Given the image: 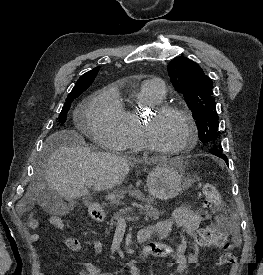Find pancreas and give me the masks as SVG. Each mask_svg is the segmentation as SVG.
<instances>
[{
    "label": "pancreas",
    "mask_w": 263,
    "mask_h": 275,
    "mask_svg": "<svg viewBox=\"0 0 263 275\" xmlns=\"http://www.w3.org/2000/svg\"><path fill=\"white\" fill-rule=\"evenodd\" d=\"M131 195L141 201V203L138 204L137 207L140 211L139 214L145 215V220H148V218L157 220L159 216L162 214L161 211H159L151 205L154 202V198H152L151 196L146 197L139 191H135L131 193ZM129 213L133 214V208L125 207L119 210L118 212L114 213L110 221V229L116 224V221H118L119 218L125 217Z\"/></svg>",
    "instance_id": "1"
}]
</instances>
